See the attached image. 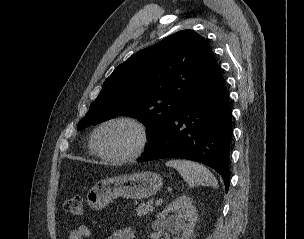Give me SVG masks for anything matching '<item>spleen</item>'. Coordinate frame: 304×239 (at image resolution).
Instances as JSON below:
<instances>
[{"label": "spleen", "instance_id": "1", "mask_svg": "<svg viewBox=\"0 0 304 239\" xmlns=\"http://www.w3.org/2000/svg\"><path fill=\"white\" fill-rule=\"evenodd\" d=\"M166 166L175 168L190 186H218V182L210 170L197 162L169 160L166 162Z\"/></svg>", "mask_w": 304, "mask_h": 239}]
</instances>
